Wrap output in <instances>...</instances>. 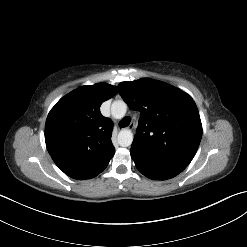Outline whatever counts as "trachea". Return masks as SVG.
I'll return each instance as SVG.
<instances>
[{
  "mask_svg": "<svg viewBox=\"0 0 247 247\" xmlns=\"http://www.w3.org/2000/svg\"><path fill=\"white\" fill-rule=\"evenodd\" d=\"M131 119L129 117H124L120 122H119V126L120 127H126L130 124Z\"/></svg>",
  "mask_w": 247,
  "mask_h": 247,
  "instance_id": "trachea-1",
  "label": "trachea"
}]
</instances>
